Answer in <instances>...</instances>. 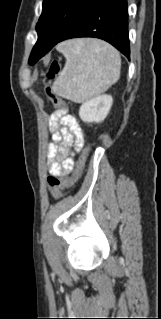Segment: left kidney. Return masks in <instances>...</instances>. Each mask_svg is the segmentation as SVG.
<instances>
[{"instance_id":"left-kidney-1","label":"left kidney","mask_w":161,"mask_h":319,"mask_svg":"<svg viewBox=\"0 0 161 319\" xmlns=\"http://www.w3.org/2000/svg\"><path fill=\"white\" fill-rule=\"evenodd\" d=\"M111 95H100L84 102L79 109V116L82 121L100 123L107 117L112 106Z\"/></svg>"}]
</instances>
